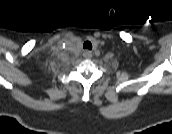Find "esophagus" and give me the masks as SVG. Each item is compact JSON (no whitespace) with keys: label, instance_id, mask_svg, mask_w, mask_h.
Here are the masks:
<instances>
[{"label":"esophagus","instance_id":"1","mask_svg":"<svg viewBox=\"0 0 172 134\" xmlns=\"http://www.w3.org/2000/svg\"><path fill=\"white\" fill-rule=\"evenodd\" d=\"M83 56H84L85 58H91V57H92V52L89 51V50H84V51H83Z\"/></svg>","mask_w":172,"mask_h":134}]
</instances>
